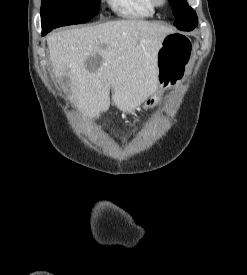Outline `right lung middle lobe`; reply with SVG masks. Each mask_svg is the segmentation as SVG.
<instances>
[{"label":"right lung middle lobe","instance_id":"right-lung-middle-lobe-1","mask_svg":"<svg viewBox=\"0 0 247 275\" xmlns=\"http://www.w3.org/2000/svg\"><path fill=\"white\" fill-rule=\"evenodd\" d=\"M100 0H42V30L89 21L99 11Z\"/></svg>","mask_w":247,"mask_h":275}]
</instances>
